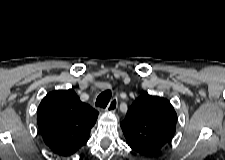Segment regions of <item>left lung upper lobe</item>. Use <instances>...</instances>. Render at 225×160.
Returning a JSON list of instances; mask_svg holds the SVG:
<instances>
[{
  "mask_svg": "<svg viewBox=\"0 0 225 160\" xmlns=\"http://www.w3.org/2000/svg\"><path fill=\"white\" fill-rule=\"evenodd\" d=\"M176 121V112L167 99L144 92L128 109L120 125L130 148L151 156L171 140Z\"/></svg>",
  "mask_w": 225,
  "mask_h": 160,
  "instance_id": "1",
  "label": "left lung upper lobe"
}]
</instances>
